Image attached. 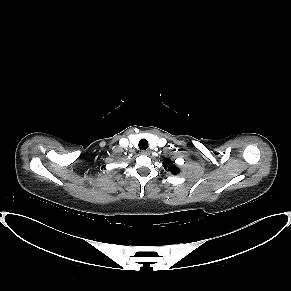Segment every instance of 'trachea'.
Instances as JSON below:
<instances>
[{"instance_id": "1", "label": "trachea", "mask_w": 291, "mask_h": 291, "mask_svg": "<svg viewBox=\"0 0 291 291\" xmlns=\"http://www.w3.org/2000/svg\"><path fill=\"white\" fill-rule=\"evenodd\" d=\"M140 150H146L148 148V141L146 139H141L139 141Z\"/></svg>"}]
</instances>
